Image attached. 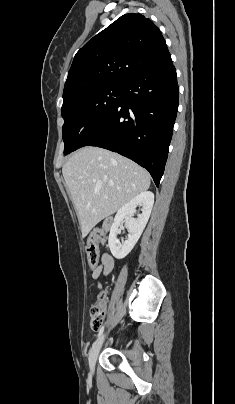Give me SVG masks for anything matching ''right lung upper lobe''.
I'll use <instances>...</instances> for the list:
<instances>
[{
  "mask_svg": "<svg viewBox=\"0 0 235 404\" xmlns=\"http://www.w3.org/2000/svg\"><path fill=\"white\" fill-rule=\"evenodd\" d=\"M170 56L159 28L141 14L121 16L75 55L63 91V104L90 90L124 84Z\"/></svg>",
  "mask_w": 235,
  "mask_h": 404,
  "instance_id": "cb5924a9",
  "label": "right lung upper lobe"
}]
</instances>
